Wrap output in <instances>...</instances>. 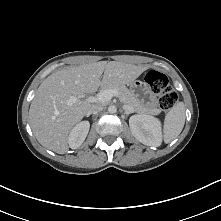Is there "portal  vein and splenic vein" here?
Segmentation results:
<instances>
[{
  "label": "portal vein and splenic vein",
  "mask_w": 221,
  "mask_h": 221,
  "mask_svg": "<svg viewBox=\"0 0 221 221\" xmlns=\"http://www.w3.org/2000/svg\"><path fill=\"white\" fill-rule=\"evenodd\" d=\"M113 96H118V92L113 89L103 90L100 93L97 94L95 97H89L85 101L91 102V103H104L112 99ZM80 99L77 97H70L67 100L68 105H72L73 103L78 102Z\"/></svg>",
  "instance_id": "obj_1"
}]
</instances>
